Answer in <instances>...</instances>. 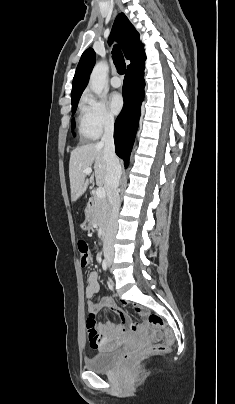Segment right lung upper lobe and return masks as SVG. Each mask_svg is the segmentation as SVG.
<instances>
[{"mask_svg": "<svg viewBox=\"0 0 235 404\" xmlns=\"http://www.w3.org/2000/svg\"><path fill=\"white\" fill-rule=\"evenodd\" d=\"M116 37L126 59L131 61L127 70L131 67L145 62L146 56L144 53L143 45L139 40V34L130 23L124 13L117 15L109 43L111 44L113 38ZM96 55L92 48L87 49L81 56L78 63L75 76L73 78L71 102L78 101L85 87L87 86L90 73L95 64Z\"/></svg>", "mask_w": 235, "mask_h": 404, "instance_id": "obj_1", "label": "right lung upper lobe"}]
</instances>
